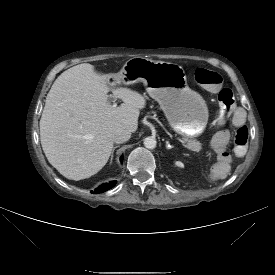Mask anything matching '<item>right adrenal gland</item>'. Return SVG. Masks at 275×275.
<instances>
[{
  "mask_svg": "<svg viewBox=\"0 0 275 275\" xmlns=\"http://www.w3.org/2000/svg\"><path fill=\"white\" fill-rule=\"evenodd\" d=\"M116 148H118V145L114 146V147H113V149H112V153H111V161H112V159H113V154H114V151H115V149H116Z\"/></svg>",
  "mask_w": 275,
  "mask_h": 275,
  "instance_id": "1",
  "label": "right adrenal gland"
}]
</instances>
